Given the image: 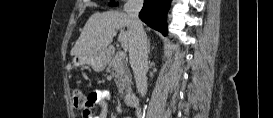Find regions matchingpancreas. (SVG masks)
Returning <instances> with one entry per match:
<instances>
[{
    "instance_id": "cf45deb5",
    "label": "pancreas",
    "mask_w": 273,
    "mask_h": 118,
    "mask_svg": "<svg viewBox=\"0 0 273 118\" xmlns=\"http://www.w3.org/2000/svg\"><path fill=\"white\" fill-rule=\"evenodd\" d=\"M107 72H110L120 94L131 93L132 75L123 58L115 55L110 59Z\"/></svg>"
}]
</instances>
